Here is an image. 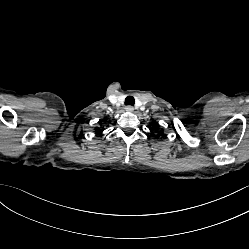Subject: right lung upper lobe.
Returning a JSON list of instances; mask_svg holds the SVG:
<instances>
[{
    "label": "right lung upper lobe",
    "instance_id": "obj_1",
    "mask_svg": "<svg viewBox=\"0 0 249 249\" xmlns=\"http://www.w3.org/2000/svg\"><path fill=\"white\" fill-rule=\"evenodd\" d=\"M103 130H104V129H102V127H97V128L95 129L96 133H98V134H102Z\"/></svg>",
    "mask_w": 249,
    "mask_h": 249
}]
</instances>
